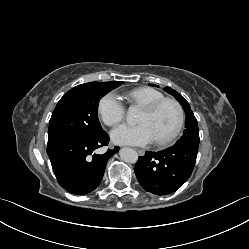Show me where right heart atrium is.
Wrapping results in <instances>:
<instances>
[{"mask_svg": "<svg viewBox=\"0 0 249 249\" xmlns=\"http://www.w3.org/2000/svg\"><path fill=\"white\" fill-rule=\"evenodd\" d=\"M97 110L100 119L110 127L120 124L125 118V106L113 92L100 99Z\"/></svg>", "mask_w": 249, "mask_h": 249, "instance_id": "right-heart-atrium-1", "label": "right heart atrium"}]
</instances>
